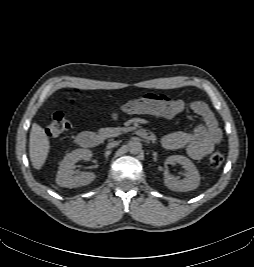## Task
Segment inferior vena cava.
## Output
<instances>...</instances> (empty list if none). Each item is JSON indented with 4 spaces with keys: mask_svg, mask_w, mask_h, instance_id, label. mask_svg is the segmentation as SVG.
Returning <instances> with one entry per match:
<instances>
[{
    "mask_svg": "<svg viewBox=\"0 0 254 267\" xmlns=\"http://www.w3.org/2000/svg\"><path fill=\"white\" fill-rule=\"evenodd\" d=\"M116 145H117L116 142H111V143H109V144L107 145V148L110 149V148L115 147Z\"/></svg>",
    "mask_w": 254,
    "mask_h": 267,
    "instance_id": "obj_1",
    "label": "inferior vena cava"
}]
</instances>
